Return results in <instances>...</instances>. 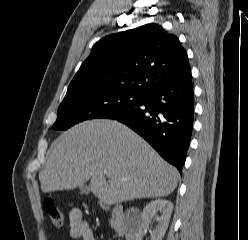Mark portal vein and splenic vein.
<instances>
[{
  "mask_svg": "<svg viewBox=\"0 0 248 240\" xmlns=\"http://www.w3.org/2000/svg\"><path fill=\"white\" fill-rule=\"evenodd\" d=\"M104 173H105V174H107V173H108V171H107V170H104Z\"/></svg>",
  "mask_w": 248,
  "mask_h": 240,
  "instance_id": "1",
  "label": "portal vein and splenic vein"
}]
</instances>
